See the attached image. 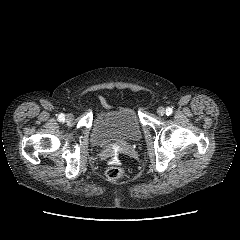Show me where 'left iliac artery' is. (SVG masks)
Here are the masks:
<instances>
[{"label":"left iliac artery","mask_w":240,"mask_h":240,"mask_svg":"<svg viewBox=\"0 0 240 240\" xmlns=\"http://www.w3.org/2000/svg\"><path fill=\"white\" fill-rule=\"evenodd\" d=\"M172 108H170V107H168L167 109H166V115H171L172 114Z\"/></svg>","instance_id":"obj_1"}]
</instances>
